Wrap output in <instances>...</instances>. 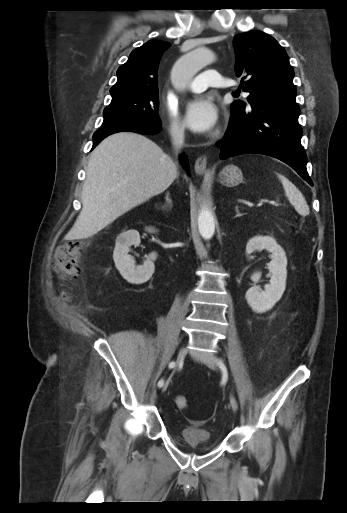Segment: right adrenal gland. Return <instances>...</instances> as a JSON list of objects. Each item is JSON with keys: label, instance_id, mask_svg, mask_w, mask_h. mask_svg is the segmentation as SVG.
I'll list each match as a JSON object with an SVG mask.
<instances>
[{"label": "right adrenal gland", "instance_id": "obj_1", "mask_svg": "<svg viewBox=\"0 0 347 513\" xmlns=\"http://www.w3.org/2000/svg\"><path fill=\"white\" fill-rule=\"evenodd\" d=\"M172 205H173V202H172V200H171V198L169 196V192H167V194H166V204H164L160 208H161V210H168V209H170L172 207Z\"/></svg>", "mask_w": 347, "mask_h": 513}]
</instances>
